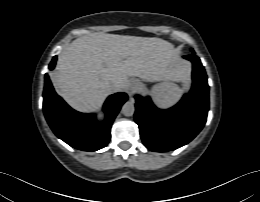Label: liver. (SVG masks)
<instances>
[{
	"instance_id": "6515ba94",
	"label": "liver",
	"mask_w": 260,
	"mask_h": 202,
	"mask_svg": "<svg viewBox=\"0 0 260 202\" xmlns=\"http://www.w3.org/2000/svg\"><path fill=\"white\" fill-rule=\"evenodd\" d=\"M181 71L165 40L96 32L75 39L59 54L51 79L71 107L90 112L112 91L129 88V77L168 79ZM112 82L119 87L113 90Z\"/></svg>"
}]
</instances>
